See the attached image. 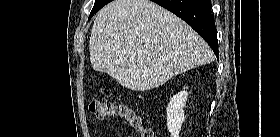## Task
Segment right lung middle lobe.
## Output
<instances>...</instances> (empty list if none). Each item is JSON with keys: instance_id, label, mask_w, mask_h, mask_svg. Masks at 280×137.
<instances>
[{"instance_id": "obj_1", "label": "right lung middle lobe", "mask_w": 280, "mask_h": 137, "mask_svg": "<svg viewBox=\"0 0 280 137\" xmlns=\"http://www.w3.org/2000/svg\"><path fill=\"white\" fill-rule=\"evenodd\" d=\"M112 0H95L93 9L90 13L89 19L97 12L99 11L103 6H105L107 3L111 2Z\"/></svg>"}]
</instances>
